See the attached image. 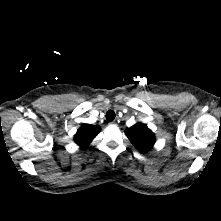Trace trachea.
I'll list each match as a JSON object with an SVG mask.
<instances>
[{"instance_id": "3493384b", "label": "trachea", "mask_w": 221, "mask_h": 221, "mask_svg": "<svg viewBox=\"0 0 221 221\" xmlns=\"http://www.w3.org/2000/svg\"><path fill=\"white\" fill-rule=\"evenodd\" d=\"M115 112L113 110H109L107 113H106V119L108 121H113L115 119Z\"/></svg>"}]
</instances>
